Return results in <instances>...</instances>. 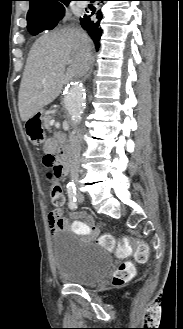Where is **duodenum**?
Segmentation results:
<instances>
[{"label":"duodenum","instance_id":"1","mask_svg":"<svg viewBox=\"0 0 183 329\" xmlns=\"http://www.w3.org/2000/svg\"><path fill=\"white\" fill-rule=\"evenodd\" d=\"M61 165L66 168L71 160V150L68 146H62L59 149Z\"/></svg>","mask_w":183,"mask_h":329}]
</instances>
